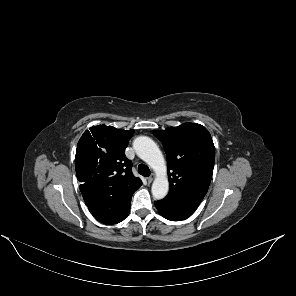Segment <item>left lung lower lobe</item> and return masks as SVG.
<instances>
[{"mask_svg": "<svg viewBox=\"0 0 296 296\" xmlns=\"http://www.w3.org/2000/svg\"><path fill=\"white\" fill-rule=\"evenodd\" d=\"M155 206L163 217L171 221L188 218L198 207L195 205H178L163 200L155 201Z\"/></svg>", "mask_w": 296, "mask_h": 296, "instance_id": "obj_1", "label": "left lung lower lobe"}]
</instances>
